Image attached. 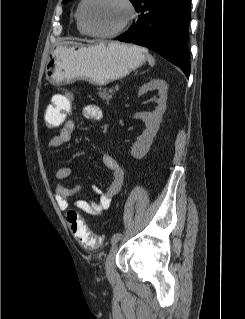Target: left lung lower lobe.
<instances>
[{
	"label": "left lung lower lobe",
	"instance_id": "obj_1",
	"mask_svg": "<svg viewBox=\"0 0 245 319\" xmlns=\"http://www.w3.org/2000/svg\"><path fill=\"white\" fill-rule=\"evenodd\" d=\"M190 3L191 0H138L134 7L140 16L116 39L156 51L188 77Z\"/></svg>",
	"mask_w": 245,
	"mask_h": 319
}]
</instances>
